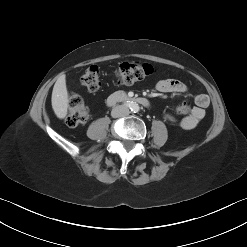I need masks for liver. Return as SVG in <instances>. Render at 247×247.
Returning a JSON list of instances; mask_svg holds the SVG:
<instances>
[{"mask_svg":"<svg viewBox=\"0 0 247 247\" xmlns=\"http://www.w3.org/2000/svg\"><path fill=\"white\" fill-rule=\"evenodd\" d=\"M51 102L56 116L59 119L65 118L69 103L65 75L60 76L54 84Z\"/></svg>","mask_w":247,"mask_h":247,"instance_id":"obj_1","label":"liver"}]
</instances>
